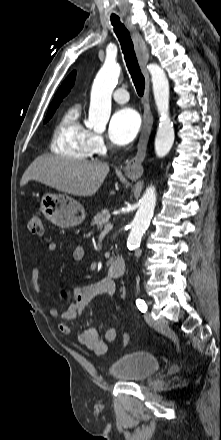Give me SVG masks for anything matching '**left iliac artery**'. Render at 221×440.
Here are the masks:
<instances>
[{
    "instance_id": "1",
    "label": "left iliac artery",
    "mask_w": 221,
    "mask_h": 440,
    "mask_svg": "<svg viewBox=\"0 0 221 440\" xmlns=\"http://www.w3.org/2000/svg\"><path fill=\"white\" fill-rule=\"evenodd\" d=\"M136 305H137L138 309H139L141 312L145 313V312L147 311V305H146V303H145L144 300H142V299H137V300H136Z\"/></svg>"
}]
</instances>
